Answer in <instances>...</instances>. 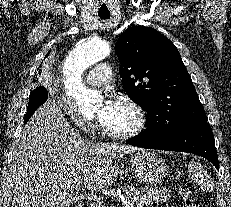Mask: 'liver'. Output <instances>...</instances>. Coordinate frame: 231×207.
<instances>
[{
	"mask_svg": "<svg viewBox=\"0 0 231 207\" xmlns=\"http://www.w3.org/2000/svg\"><path fill=\"white\" fill-rule=\"evenodd\" d=\"M139 148L82 138L61 110L47 102L25 125L13 152L12 207H70L83 192L116 180L114 161Z\"/></svg>",
	"mask_w": 231,
	"mask_h": 207,
	"instance_id": "1",
	"label": "liver"
}]
</instances>
